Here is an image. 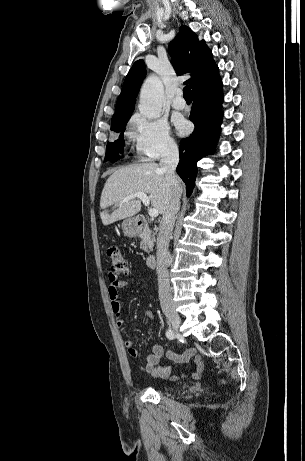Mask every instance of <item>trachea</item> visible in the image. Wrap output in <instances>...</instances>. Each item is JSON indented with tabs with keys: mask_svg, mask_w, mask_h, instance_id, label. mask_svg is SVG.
I'll list each match as a JSON object with an SVG mask.
<instances>
[{
	"mask_svg": "<svg viewBox=\"0 0 305 461\" xmlns=\"http://www.w3.org/2000/svg\"><path fill=\"white\" fill-rule=\"evenodd\" d=\"M183 96L185 99H192V91L189 85L183 88Z\"/></svg>",
	"mask_w": 305,
	"mask_h": 461,
	"instance_id": "trachea-1",
	"label": "trachea"
}]
</instances>
